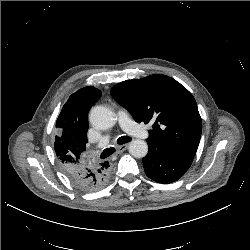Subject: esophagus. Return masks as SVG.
I'll return each instance as SVG.
<instances>
[{
    "label": "esophagus",
    "instance_id": "34e87169",
    "mask_svg": "<svg viewBox=\"0 0 250 250\" xmlns=\"http://www.w3.org/2000/svg\"><path fill=\"white\" fill-rule=\"evenodd\" d=\"M128 148V144H123V145H120L117 149V153H122L124 152L126 149Z\"/></svg>",
    "mask_w": 250,
    "mask_h": 250
}]
</instances>
